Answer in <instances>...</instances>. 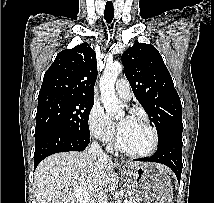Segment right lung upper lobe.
I'll return each instance as SVG.
<instances>
[{"label":"right lung upper lobe","instance_id":"obj_1","mask_svg":"<svg viewBox=\"0 0 214 203\" xmlns=\"http://www.w3.org/2000/svg\"><path fill=\"white\" fill-rule=\"evenodd\" d=\"M96 78V54L82 43L57 54L45 72L38 99L54 95L94 98Z\"/></svg>","mask_w":214,"mask_h":203}]
</instances>
